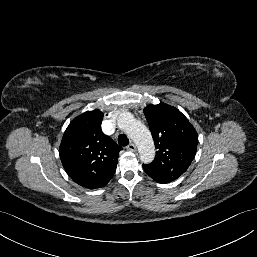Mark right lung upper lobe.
<instances>
[{"mask_svg": "<svg viewBox=\"0 0 257 257\" xmlns=\"http://www.w3.org/2000/svg\"><path fill=\"white\" fill-rule=\"evenodd\" d=\"M103 113L87 111L67 127L59 155L67 174L79 185L96 189L104 187L115 173L122 150L101 129Z\"/></svg>", "mask_w": 257, "mask_h": 257, "instance_id": "right-lung-upper-lobe-1", "label": "right lung upper lobe"}]
</instances>
